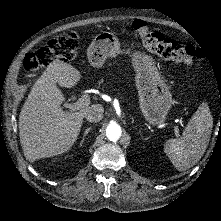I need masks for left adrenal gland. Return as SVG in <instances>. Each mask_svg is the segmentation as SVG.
<instances>
[{
	"instance_id": "left-adrenal-gland-1",
	"label": "left adrenal gland",
	"mask_w": 221,
	"mask_h": 221,
	"mask_svg": "<svg viewBox=\"0 0 221 221\" xmlns=\"http://www.w3.org/2000/svg\"><path fill=\"white\" fill-rule=\"evenodd\" d=\"M134 121H135L134 118H132L131 122H134ZM138 127H139V130H140L139 132H140L141 138L146 139L147 137L143 136L142 133H141V125L139 123H138Z\"/></svg>"
}]
</instances>
